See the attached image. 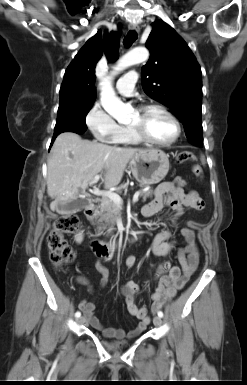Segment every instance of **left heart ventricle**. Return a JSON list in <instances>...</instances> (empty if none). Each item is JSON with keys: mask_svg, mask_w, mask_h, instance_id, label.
<instances>
[{"mask_svg": "<svg viewBox=\"0 0 247 385\" xmlns=\"http://www.w3.org/2000/svg\"><path fill=\"white\" fill-rule=\"evenodd\" d=\"M130 126L139 127L150 139L159 142L169 141L175 134L172 121L162 112L153 110L144 116L136 111Z\"/></svg>", "mask_w": 247, "mask_h": 385, "instance_id": "obj_1", "label": "left heart ventricle"}]
</instances>
